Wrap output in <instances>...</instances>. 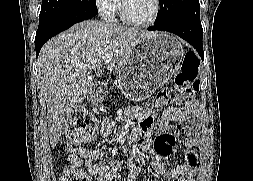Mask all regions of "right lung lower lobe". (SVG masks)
<instances>
[{"label":"right lung lower lobe","instance_id":"1","mask_svg":"<svg viewBox=\"0 0 253 181\" xmlns=\"http://www.w3.org/2000/svg\"><path fill=\"white\" fill-rule=\"evenodd\" d=\"M97 12L86 10H69L51 18L39 20L35 37L36 56H38L43 44L56 34L68 29L75 23L87 20L95 16Z\"/></svg>","mask_w":253,"mask_h":181}]
</instances>
